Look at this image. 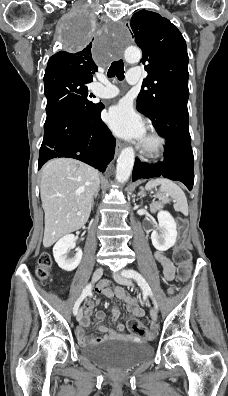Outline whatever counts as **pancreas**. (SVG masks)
I'll return each instance as SVG.
<instances>
[{"instance_id":"obj_1","label":"pancreas","mask_w":228,"mask_h":396,"mask_svg":"<svg viewBox=\"0 0 228 396\" xmlns=\"http://www.w3.org/2000/svg\"><path fill=\"white\" fill-rule=\"evenodd\" d=\"M163 208L162 204L155 203L151 206L152 211Z\"/></svg>"}]
</instances>
